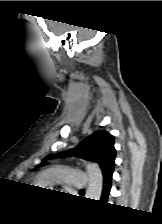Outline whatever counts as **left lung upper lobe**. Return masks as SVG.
<instances>
[{
    "instance_id": "1",
    "label": "left lung upper lobe",
    "mask_w": 162,
    "mask_h": 224,
    "mask_svg": "<svg viewBox=\"0 0 162 224\" xmlns=\"http://www.w3.org/2000/svg\"><path fill=\"white\" fill-rule=\"evenodd\" d=\"M65 156H77L98 163L105 177L113 172L115 166L114 138L107 131H97L80 142L75 148L49 155L44 158V161Z\"/></svg>"
}]
</instances>
